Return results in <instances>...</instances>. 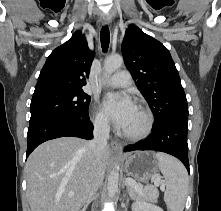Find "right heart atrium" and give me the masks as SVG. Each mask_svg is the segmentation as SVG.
Here are the masks:
<instances>
[{"instance_id":"1","label":"right heart atrium","mask_w":221,"mask_h":211,"mask_svg":"<svg viewBox=\"0 0 221 211\" xmlns=\"http://www.w3.org/2000/svg\"><path fill=\"white\" fill-rule=\"evenodd\" d=\"M93 124L95 128L101 131H106L109 128V123L105 114L96 110L93 115Z\"/></svg>"}]
</instances>
